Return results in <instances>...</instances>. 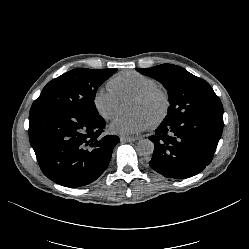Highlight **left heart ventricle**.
<instances>
[{"label": "left heart ventricle", "instance_id": "obj_1", "mask_svg": "<svg viewBox=\"0 0 249 249\" xmlns=\"http://www.w3.org/2000/svg\"><path fill=\"white\" fill-rule=\"evenodd\" d=\"M161 110V102L159 99H154L149 102H142L138 100H133L131 106V113L141 114L150 123L153 121Z\"/></svg>", "mask_w": 249, "mask_h": 249}]
</instances>
